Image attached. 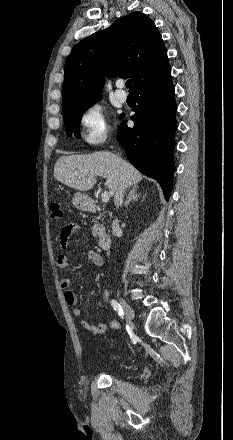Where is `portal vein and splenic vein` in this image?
Returning a JSON list of instances; mask_svg holds the SVG:
<instances>
[{"mask_svg": "<svg viewBox=\"0 0 233 440\" xmlns=\"http://www.w3.org/2000/svg\"><path fill=\"white\" fill-rule=\"evenodd\" d=\"M109 198H110V193L104 191L101 195L102 202L107 203L109 201Z\"/></svg>", "mask_w": 233, "mask_h": 440, "instance_id": "18ae733b", "label": "portal vein and splenic vein"}]
</instances>
